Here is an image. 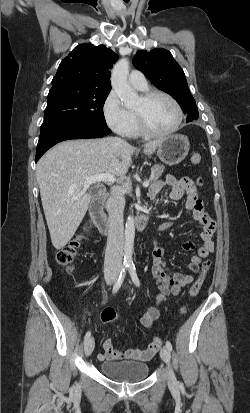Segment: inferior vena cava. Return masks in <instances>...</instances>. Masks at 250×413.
Returning <instances> with one entry per match:
<instances>
[{"mask_svg":"<svg viewBox=\"0 0 250 413\" xmlns=\"http://www.w3.org/2000/svg\"><path fill=\"white\" fill-rule=\"evenodd\" d=\"M107 209L109 214V231L105 252V267L120 269L124 239V201L117 187L112 188L111 196L107 201Z\"/></svg>","mask_w":250,"mask_h":413,"instance_id":"obj_1","label":"inferior vena cava"}]
</instances>
